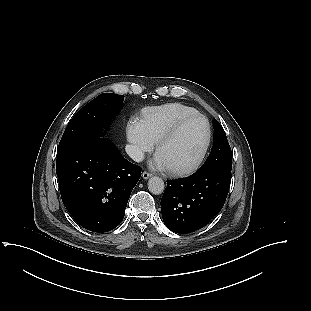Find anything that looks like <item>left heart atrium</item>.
I'll use <instances>...</instances> for the list:
<instances>
[{"mask_svg": "<svg viewBox=\"0 0 311 311\" xmlns=\"http://www.w3.org/2000/svg\"><path fill=\"white\" fill-rule=\"evenodd\" d=\"M152 165L157 168L166 169L168 168L162 157L156 153Z\"/></svg>", "mask_w": 311, "mask_h": 311, "instance_id": "1", "label": "left heart atrium"}]
</instances>
